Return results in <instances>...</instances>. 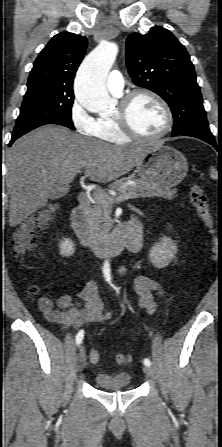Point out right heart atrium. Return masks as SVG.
I'll return each mask as SVG.
<instances>
[{"label":"right heart atrium","instance_id":"obj_1","mask_svg":"<svg viewBox=\"0 0 222 447\" xmlns=\"http://www.w3.org/2000/svg\"><path fill=\"white\" fill-rule=\"evenodd\" d=\"M70 119L75 130L82 135H93L96 129V121L84 108L75 102L70 109Z\"/></svg>","mask_w":222,"mask_h":447}]
</instances>
